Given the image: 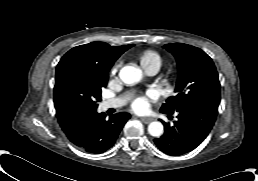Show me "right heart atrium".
<instances>
[{
  "label": "right heart atrium",
  "mask_w": 258,
  "mask_h": 181,
  "mask_svg": "<svg viewBox=\"0 0 258 181\" xmlns=\"http://www.w3.org/2000/svg\"><path fill=\"white\" fill-rule=\"evenodd\" d=\"M120 64H116L113 69H112V73H116L118 71Z\"/></svg>",
  "instance_id": "d8ad5b80"
}]
</instances>
